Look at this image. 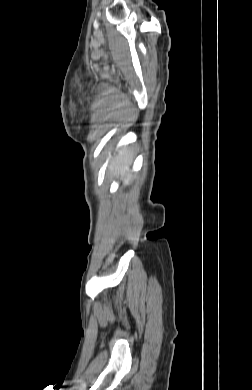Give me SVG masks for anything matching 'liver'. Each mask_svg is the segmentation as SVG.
Listing matches in <instances>:
<instances>
[{
  "label": "liver",
  "instance_id": "1",
  "mask_svg": "<svg viewBox=\"0 0 252 390\" xmlns=\"http://www.w3.org/2000/svg\"><path fill=\"white\" fill-rule=\"evenodd\" d=\"M133 161V152L131 149L123 148L118 151L117 155L113 158L110 166L109 173L111 177L123 178V184L128 185L132 180L131 176H127V172Z\"/></svg>",
  "mask_w": 252,
  "mask_h": 390
}]
</instances>
